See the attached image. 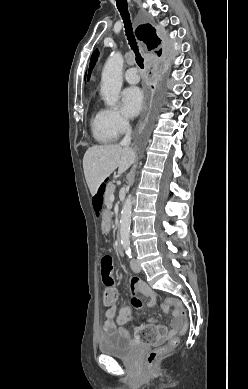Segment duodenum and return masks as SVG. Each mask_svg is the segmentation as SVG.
<instances>
[{
    "label": "duodenum",
    "mask_w": 248,
    "mask_h": 389,
    "mask_svg": "<svg viewBox=\"0 0 248 389\" xmlns=\"http://www.w3.org/2000/svg\"><path fill=\"white\" fill-rule=\"evenodd\" d=\"M116 248H117L118 253L120 255H122L124 251H123L122 244L120 242V238L117 239Z\"/></svg>",
    "instance_id": "duodenum-1"
}]
</instances>
